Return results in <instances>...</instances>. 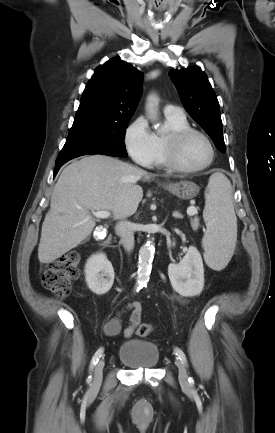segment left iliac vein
Returning <instances> with one entry per match:
<instances>
[{
  "mask_svg": "<svg viewBox=\"0 0 275 433\" xmlns=\"http://www.w3.org/2000/svg\"><path fill=\"white\" fill-rule=\"evenodd\" d=\"M176 366L178 368V372H179V381L186 385L188 383V375H187V371L186 368L184 367V364L181 360L177 359L176 360Z\"/></svg>",
  "mask_w": 275,
  "mask_h": 433,
  "instance_id": "1",
  "label": "left iliac vein"
}]
</instances>
